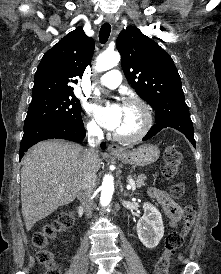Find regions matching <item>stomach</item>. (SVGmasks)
Returning a JSON list of instances; mask_svg holds the SVG:
<instances>
[{
    "label": "stomach",
    "instance_id": "0dacf381",
    "mask_svg": "<svg viewBox=\"0 0 221 274\" xmlns=\"http://www.w3.org/2000/svg\"><path fill=\"white\" fill-rule=\"evenodd\" d=\"M159 155L160 150L157 146L145 144L132 151L115 154L114 157L125 164L145 166L157 161Z\"/></svg>",
    "mask_w": 221,
    "mask_h": 274
}]
</instances>
